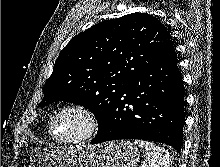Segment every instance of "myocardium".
Listing matches in <instances>:
<instances>
[{
  "label": "myocardium",
  "instance_id": "myocardium-1",
  "mask_svg": "<svg viewBox=\"0 0 220 167\" xmlns=\"http://www.w3.org/2000/svg\"><path fill=\"white\" fill-rule=\"evenodd\" d=\"M68 112L78 113L84 118L86 124L85 130L81 134L73 138H68V139L59 138L54 133L55 122L61 115ZM100 126H101L100 120L92 109H90L89 107L83 104L73 103L63 106L53 115L49 123L48 131L50 136L55 142L63 145H76V144L88 142L91 139H93L99 132Z\"/></svg>",
  "mask_w": 220,
  "mask_h": 167
}]
</instances>
